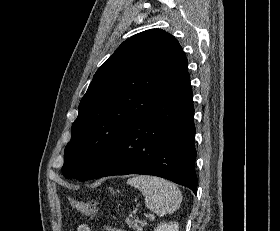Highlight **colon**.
Masks as SVG:
<instances>
[{"label":"colon","instance_id":"5ec220e1","mask_svg":"<svg viewBox=\"0 0 280 231\" xmlns=\"http://www.w3.org/2000/svg\"><path fill=\"white\" fill-rule=\"evenodd\" d=\"M73 207L87 216L94 218L99 211V204L96 201H85L82 199H69Z\"/></svg>","mask_w":280,"mask_h":231}]
</instances>
